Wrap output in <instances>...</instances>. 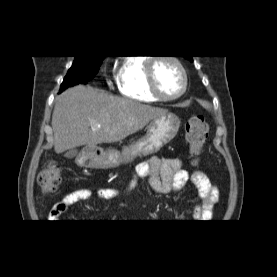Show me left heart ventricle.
I'll list each match as a JSON object with an SVG mask.
<instances>
[{"mask_svg":"<svg viewBox=\"0 0 277 277\" xmlns=\"http://www.w3.org/2000/svg\"><path fill=\"white\" fill-rule=\"evenodd\" d=\"M155 77L160 92L165 96L176 95L183 86L182 75L178 67L167 60L155 64Z\"/></svg>","mask_w":277,"mask_h":277,"instance_id":"left-heart-ventricle-1","label":"left heart ventricle"}]
</instances>
